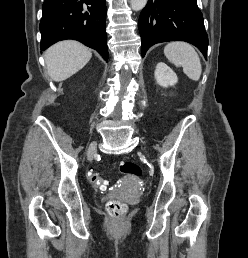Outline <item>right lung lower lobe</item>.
I'll list each match as a JSON object with an SVG mask.
<instances>
[{"label": "right lung lower lobe", "mask_w": 248, "mask_h": 258, "mask_svg": "<svg viewBox=\"0 0 248 258\" xmlns=\"http://www.w3.org/2000/svg\"><path fill=\"white\" fill-rule=\"evenodd\" d=\"M42 11L41 50L60 40L75 39L108 61L105 0H45Z\"/></svg>", "instance_id": "1"}]
</instances>
